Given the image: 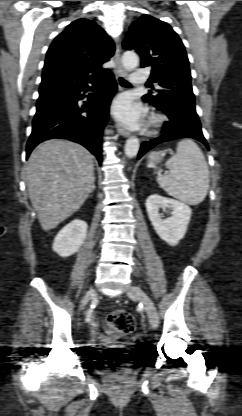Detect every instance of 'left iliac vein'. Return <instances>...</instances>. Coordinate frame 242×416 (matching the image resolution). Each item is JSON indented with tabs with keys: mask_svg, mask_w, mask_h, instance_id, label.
I'll list each match as a JSON object with an SVG mask.
<instances>
[{
	"mask_svg": "<svg viewBox=\"0 0 242 416\" xmlns=\"http://www.w3.org/2000/svg\"><path fill=\"white\" fill-rule=\"evenodd\" d=\"M127 295L142 303L152 328H157L159 324V315L149 296L138 286H131L127 291Z\"/></svg>",
	"mask_w": 242,
	"mask_h": 416,
	"instance_id": "left-iliac-vein-1",
	"label": "left iliac vein"
}]
</instances>
